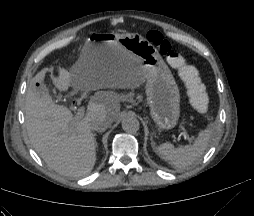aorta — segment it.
<instances>
[{"instance_id":"1","label":"aorta","mask_w":254,"mask_h":216,"mask_svg":"<svg viewBox=\"0 0 254 216\" xmlns=\"http://www.w3.org/2000/svg\"><path fill=\"white\" fill-rule=\"evenodd\" d=\"M140 122L139 120L133 115H127L122 120V128L124 131L128 133H135L139 130Z\"/></svg>"}]
</instances>
